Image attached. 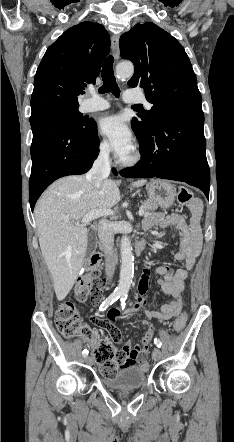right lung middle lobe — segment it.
<instances>
[{
  "mask_svg": "<svg viewBox=\"0 0 234 442\" xmlns=\"http://www.w3.org/2000/svg\"><path fill=\"white\" fill-rule=\"evenodd\" d=\"M42 119H59L72 125L74 128L83 129L93 123L92 119H87L78 111V107H64L47 110L45 112L31 115L30 123Z\"/></svg>",
  "mask_w": 234,
  "mask_h": 442,
  "instance_id": "dd1d6c3e",
  "label": "right lung middle lobe"
}]
</instances>
